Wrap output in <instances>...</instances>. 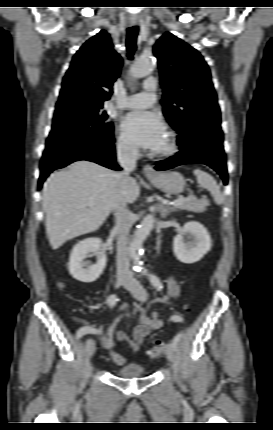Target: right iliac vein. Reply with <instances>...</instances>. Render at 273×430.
Wrapping results in <instances>:
<instances>
[{"label":"right iliac vein","mask_w":273,"mask_h":430,"mask_svg":"<svg viewBox=\"0 0 273 430\" xmlns=\"http://www.w3.org/2000/svg\"><path fill=\"white\" fill-rule=\"evenodd\" d=\"M127 282L128 280L126 278L118 277L115 282V287L118 288L122 285H125ZM95 349V343L93 340H91L90 342H86V351L90 358L94 355Z\"/></svg>","instance_id":"1"}]
</instances>
